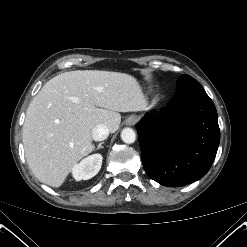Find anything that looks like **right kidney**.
<instances>
[{"instance_id": "obj_1", "label": "right kidney", "mask_w": 247, "mask_h": 247, "mask_svg": "<svg viewBox=\"0 0 247 247\" xmlns=\"http://www.w3.org/2000/svg\"><path fill=\"white\" fill-rule=\"evenodd\" d=\"M102 160L101 154H92L84 158L73 167V178L77 181L91 179L99 172Z\"/></svg>"}]
</instances>
